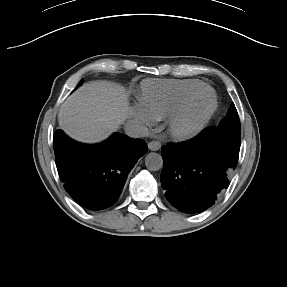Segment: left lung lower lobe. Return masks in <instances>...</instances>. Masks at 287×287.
Segmentation results:
<instances>
[{
	"mask_svg": "<svg viewBox=\"0 0 287 287\" xmlns=\"http://www.w3.org/2000/svg\"><path fill=\"white\" fill-rule=\"evenodd\" d=\"M239 150L240 140L213 127L206 128L190 141L163 146L160 179L166 199L186 213L211 207L229 186Z\"/></svg>",
	"mask_w": 287,
	"mask_h": 287,
	"instance_id": "obj_1",
	"label": "left lung lower lobe"
}]
</instances>
